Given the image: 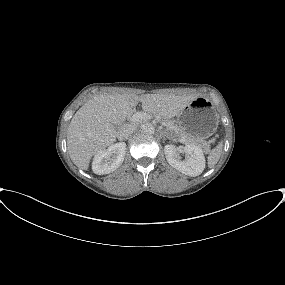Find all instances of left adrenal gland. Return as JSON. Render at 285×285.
<instances>
[{"instance_id": "left-adrenal-gland-1", "label": "left adrenal gland", "mask_w": 285, "mask_h": 285, "mask_svg": "<svg viewBox=\"0 0 285 285\" xmlns=\"http://www.w3.org/2000/svg\"><path fill=\"white\" fill-rule=\"evenodd\" d=\"M164 137H168L166 132H161Z\"/></svg>"}]
</instances>
